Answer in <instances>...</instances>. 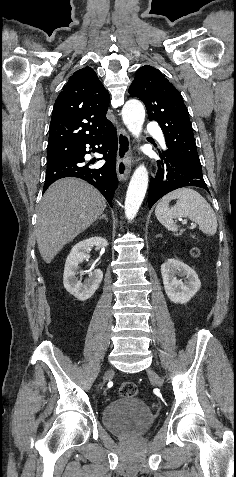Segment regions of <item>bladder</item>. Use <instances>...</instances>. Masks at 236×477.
Wrapping results in <instances>:
<instances>
[{
  "label": "bladder",
  "instance_id": "31cf9c89",
  "mask_svg": "<svg viewBox=\"0 0 236 477\" xmlns=\"http://www.w3.org/2000/svg\"><path fill=\"white\" fill-rule=\"evenodd\" d=\"M102 419L105 428L114 435L140 437L153 425L154 414L135 396H120L103 407Z\"/></svg>",
  "mask_w": 236,
  "mask_h": 477
}]
</instances>
